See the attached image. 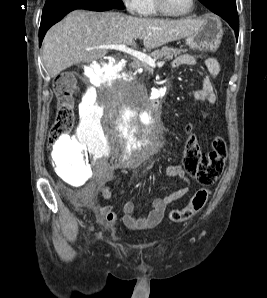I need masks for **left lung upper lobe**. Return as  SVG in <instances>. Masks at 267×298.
<instances>
[{
	"label": "left lung upper lobe",
	"mask_w": 267,
	"mask_h": 298,
	"mask_svg": "<svg viewBox=\"0 0 267 298\" xmlns=\"http://www.w3.org/2000/svg\"><path fill=\"white\" fill-rule=\"evenodd\" d=\"M199 1L217 15L228 14L229 11H237L235 0H199Z\"/></svg>",
	"instance_id": "left-lung-upper-lobe-1"
}]
</instances>
